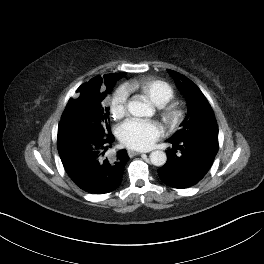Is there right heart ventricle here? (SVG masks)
Masks as SVG:
<instances>
[{
	"instance_id": "obj_1",
	"label": "right heart ventricle",
	"mask_w": 264,
	"mask_h": 264,
	"mask_svg": "<svg viewBox=\"0 0 264 264\" xmlns=\"http://www.w3.org/2000/svg\"><path fill=\"white\" fill-rule=\"evenodd\" d=\"M126 88L140 92L157 106L165 105L174 97L172 86L160 79L143 78L131 81Z\"/></svg>"
}]
</instances>
